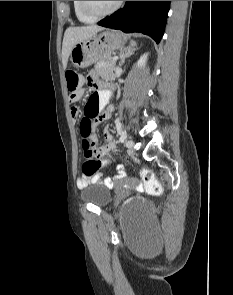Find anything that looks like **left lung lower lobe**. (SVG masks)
I'll return each mask as SVG.
<instances>
[{"label":"left lung lower lobe","instance_id":"left-lung-lower-lobe-1","mask_svg":"<svg viewBox=\"0 0 233 295\" xmlns=\"http://www.w3.org/2000/svg\"><path fill=\"white\" fill-rule=\"evenodd\" d=\"M170 1H126L123 8L98 22V25L126 33L140 32L159 43L167 21Z\"/></svg>","mask_w":233,"mask_h":295}]
</instances>
